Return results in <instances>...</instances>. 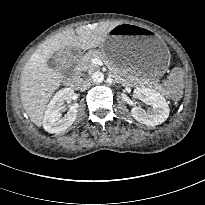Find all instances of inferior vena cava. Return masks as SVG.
<instances>
[{
    "mask_svg": "<svg viewBox=\"0 0 205 205\" xmlns=\"http://www.w3.org/2000/svg\"><path fill=\"white\" fill-rule=\"evenodd\" d=\"M91 79H86L82 83V89L85 90L91 86Z\"/></svg>",
    "mask_w": 205,
    "mask_h": 205,
    "instance_id": "1",
    "label": "inferior vena cava"
}]
</instances>
